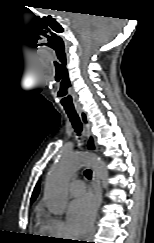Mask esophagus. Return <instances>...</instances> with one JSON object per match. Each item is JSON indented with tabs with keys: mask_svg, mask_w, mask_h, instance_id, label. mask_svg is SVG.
Instances as JSON below:
<instances>
[{
	"mask_svg": "<svg viewBox=\"0 0 154 243\" xmlns=\"http://www.w3.org/2000/svg\"><path fill=\"white\" fill-rule=\"evenodd\" d=\"M77 113L79 114V117L86 130V134H87L86 149L89 152H96L98 149V146L96 143V139L91 131V124H90L88 115L83 110H80V109L77 110ZM92 186H93V192H94V196H95L96 212H95V223H94L89 235L87 236L88 241H90L93 238V235L96 231V219L98 217V212H99L100 206L102 204V195H101L100 184H99V180H98V177H97L94 169H92Z\"/></svg>",
	"mask_w": 154,
	"mask_h": 243,
	"instance_id": "esophagus-1",
	"label": "esophagus"
}]
</instances>
